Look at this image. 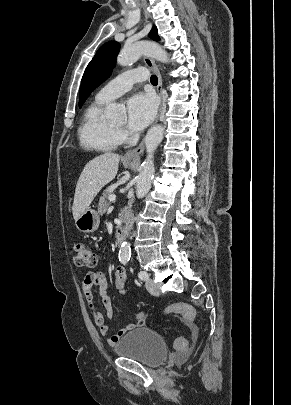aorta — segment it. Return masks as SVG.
Returning <instances> with one entry per match:
<instances>
[{
	"instance_id": "762f6f07",
	"label": "aorta",
	"mask_w": 291,
	"mask_h": 405,
	"mask_svg": "<svg viewBox=\"0 0 291 405\" xmlns=\"http://www.w3.org/2000/svg\"><path fill=\"white\" fill-rule=\"evenodd\" d=\"M142 55H149L162 63L168 62V54L160 45L151 41H138L132 45L125 46L121 50L117 57V63L121 66H128L136 62ZM124 115L125 110L118 104H109L106 109V116L110 120L121 119ZM163 136L164 127L161 125L153 126L146 135L145 146L147 156L142 163V170L136 182V196L138 199L143 198L151 188L152 179L155 173L154 152L163 140ZM130 256V244L124 241L119 250V260L127 261L130 259Z\"/></svg>"
}]
</instances>
